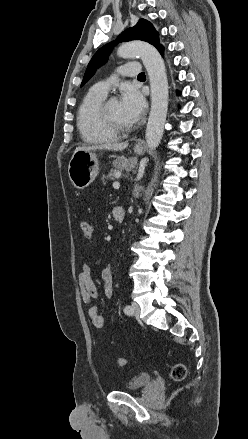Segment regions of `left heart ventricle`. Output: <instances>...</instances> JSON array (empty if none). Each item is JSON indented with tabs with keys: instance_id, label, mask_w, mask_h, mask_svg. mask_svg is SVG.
I'll use <instances>...</instances> for the list:
<instances>
[{
	"instance_id": "left-heart-ventricle-1",
	"label": "left heart ventricle",
	"mask_w": 248,
	"mask_h": 439,
	"mask_svg": "<svg viewBox=\"0 0 248 439\" xmlns=\"http://www.w3.org/2000/svg\"><path fill=\"white\" fill-rule=\"evenodd\" d=\"M109 112L112 119L119 125L128 126L131 125L132 122L126 117L124 114L120 101L111 100L109 103Z\"/></svg>"
}]
</instances>
